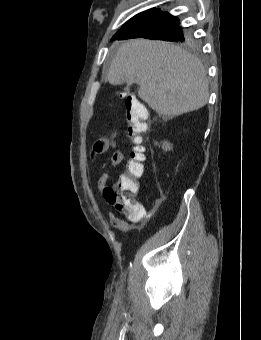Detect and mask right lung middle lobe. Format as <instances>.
Listing matches in <instances>:
<instances>
[{
    "label": "right lung middle lobe",
    "instance_id": "obj_1",
    "mask_svg": "<svg viewBox=\"0 0 261 340\" xmlns=\"http://www.w3.org/2000/svg\"><path fill=\"white\" fill-rule=\"evenodd\" d=\"M154 9L147 10L145 12L139 13L133 18H131L128 22H126L123 27L117 32V34L113 37V40L117 39L119 36H121L125 31H127L129 28H131L134 24H136L140 19H142L144 16H146L149 12H151ZM169 41L174 42H183L185 44H193L194 40L192 39V35L188 31H182L175 36H173Z\"/></svg>",
    "mask_w": 261,
    "mask_h": 340
}]
</instances>
